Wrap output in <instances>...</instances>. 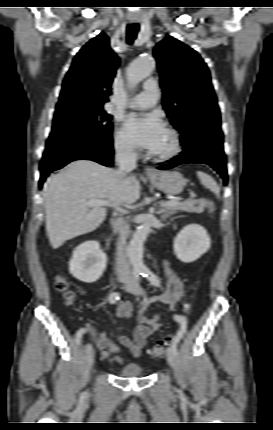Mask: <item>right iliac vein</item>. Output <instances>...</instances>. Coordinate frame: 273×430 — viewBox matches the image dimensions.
I'll list each match as a JSON object with an SVG mask.
<instances>
[{"instance_id":"obj_1","label":"right iliac vein","mask_w":273,"mask_h":430,"mask_svg":"<svg viewBox=\"0 0 273 430\" xmlns=\"http://www.w3.org/2000/svg\"><path fill=\"white\" fill-rule=\"evenodd\" d=\"M119 282L127 284L128 280L124 278H120ZM86 359L90 367L93 366L95 360V351L90 344H87L85 347Z\"/></svg>"}]
</instances>
